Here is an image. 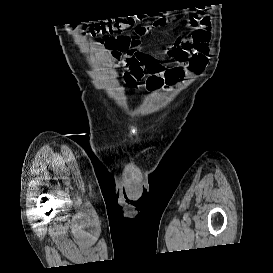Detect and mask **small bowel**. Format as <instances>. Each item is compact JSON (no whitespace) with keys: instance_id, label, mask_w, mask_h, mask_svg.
I'll use <instances>...</instances> for the list:
<instances>
[{"instance_id":"obj_1","label":"small bowel","mask_w":273,"mask_h":273,"mask_svg":"<svg viewBox=\"0 0 273 273\" xmlns=\"http://www.w3.org/2000/svg\"><path fill=\"white\" fill-rule=\"evenodd\" d=\"M184 20L191 29L189 36L177 37L165 48L153 52L131 46L128 35L104 36L98 40V45L107 51L113 62L126 69L121 79L130 90H137L144 79L149 92L163 84L177 85L204 71L211 40V23L207 16L193 13L185 16ZM151 25L148 32L157 29ZM159 58L173 60L175 65L165 67L158 61Z\"/></svg>"}]
</instances>
